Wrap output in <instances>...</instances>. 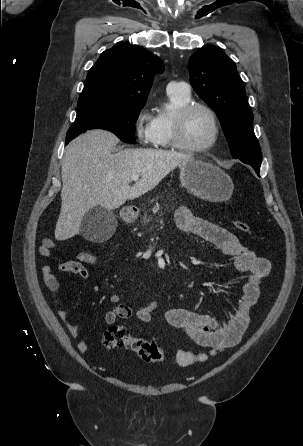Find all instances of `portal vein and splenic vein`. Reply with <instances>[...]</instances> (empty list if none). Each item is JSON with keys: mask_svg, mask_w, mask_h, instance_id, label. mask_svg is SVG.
I'll use <instances>...</instances> for the list:
<instances>
[{"mask_svg": "<svg viewBox=\"0 0 303 446\" xmlns=\"http://www.w3.org/2000/svg\"><path fill=\"white\" fill-rule=\"evenodd\" d=\"M139 179V175H133L131 176V180L137 181Z\"/></svg>", "mask_w": 303, "mask_h": 446, "instance_id": "18ae733b", "label": "portal vein and splenic vein"}]
</instances>
